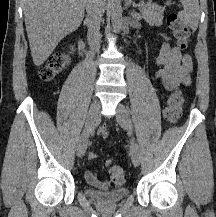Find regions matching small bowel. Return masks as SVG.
I'll use <instances>...</instances> for the list:
<instances>
[{"label":"small bowel","mask_w":216,"mask_h":217,"mask_svg":"<svg viewBox=\"0 0 216 217\" xmlns=\"http://www.w3.org/2000/svg\"><path fill=\"white\" fill-rule=\"evenodd\" d=\"M155 64L157 71L155 78L159 87L165 91H172L183 85L188 86L191 82L192 60L191 57L182 52L178 47L164 43L156 57ZM96 155L93 152L88 153V159L94 160ZM110 165V162H107ZM86 181L99 189L108 188L113 182L101 180L93 170L85 172Z\"/></svg>","instance_id":"obj_1"}]
</instances>
